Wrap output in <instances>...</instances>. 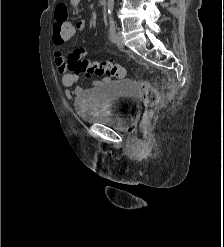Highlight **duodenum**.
<instances>
[{"instance_id":"410a0bca","label":"duodenum","mask_w":224,"mask_h":247,"mask_svg":"<svg viewBox=\"0 0 224 247\" xmlns=\"http://www.w3.org/2000/svg\"><path fill=\"white\" fill-rule=\"evenodd\" d=\"M100 6H104L106 3V0H99Z\"/></svg>"}]
</instances>
